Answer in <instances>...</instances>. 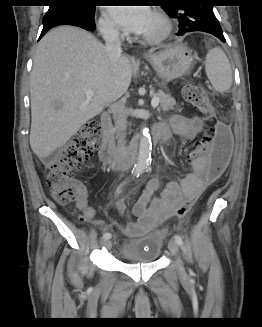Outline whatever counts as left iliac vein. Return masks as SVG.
Listing matches in <instances>:
<instances>
[{
	"label": "left iliac vein",
	"instance_id": "4c4485c4",
	"mask_svg": "<svg viewBox=\"0 0 262 327\" xmlns=\"http://www.w3.org/2000/svg\"><path fill=\"white\" fill-rule=\"evenodd\" d=\"M168 249L171 252V254L175 257L178 256V245L175 240H170L168 243ZM177 265H178V272L181 277H184L186 275L185 269L182 265V262L179 258H177Z\"/></svg>",
	"mask_w": 262,
	"mask_h": 327
}]
</instances>
